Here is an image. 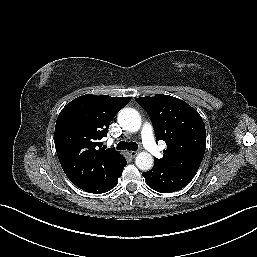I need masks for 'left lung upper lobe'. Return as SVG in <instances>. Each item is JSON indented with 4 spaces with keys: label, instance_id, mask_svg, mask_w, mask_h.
Wrapping results in <instances>:
<instances>
[{
    "label": "left lung upper lobe",
    "instance_id": "5c2ea615",
    "mask_svg": "<svg viewBox=\"0 0 257 257\" xmlns=\"http://www.w3.org/2000/svg\"><path fill=\"white\" fill-rule=\"evenodd\" d=\"M136 102L150 116L156 139L167 144L163 158H155V163L196 174L206 148V130L199 113L186 102L169 95L140 97Z\"/></svg>",
    "mask_w": 257,
    "mask_h": 257
}]
</instances>
